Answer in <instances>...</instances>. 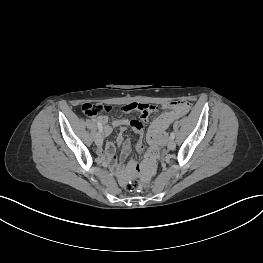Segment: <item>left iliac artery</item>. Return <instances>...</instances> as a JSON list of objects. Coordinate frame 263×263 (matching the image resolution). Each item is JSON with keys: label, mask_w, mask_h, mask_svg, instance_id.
<instances>
[{"label": "left iliac artery", "mask_w": 263, "mask_h": 263, "mask_svg": "<svg viewBox=\"0 0 263 263\" xmlns=\"http://www.w3.org/2000/svg\"><path fill=\"white\" fill-rule=\"evenodd\" d=\"M170 138H171V139H174V138H175V134H174V132H171V134H170Z\"/></svg>", "instance_id": "1"}]
</instances>
